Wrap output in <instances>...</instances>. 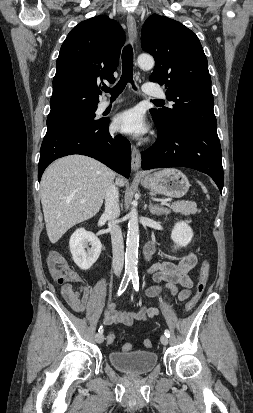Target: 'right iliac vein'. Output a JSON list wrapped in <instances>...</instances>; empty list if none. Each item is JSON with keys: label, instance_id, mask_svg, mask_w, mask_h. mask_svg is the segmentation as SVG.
Instances as JSON below:
<instances>
[{"label": "right iliac vein", "instance_id": "right-iliac-vein-1", "mask_svg": "<svg viewBox=\"0 0 253 413\" xmlns=\"http://www.w3.org/2000/svg\"><path fill=\"white\" fill-rule=\"evenodd\" d=\"M95 339L97 343L101 344L104 341V336L102 333H98L96 334Z\"/></svg>", "mask_w": 253, "mask_h": 413}]
</instances>
